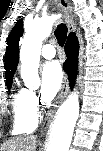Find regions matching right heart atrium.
Wrapping results in <instances>:
<instances>
[{
  "mask_svg": "<svg viewBox=\"0 0 103 151\" xmlns=\"http://www.w3.org/2000/svg\"><path fill=\"white\" fill-rule=\"evenodd\" d=\"M25 91V99L29 110L37 116L40 110V101L35 92L31 90H24Z\"/></svg>",
  "mask_w": 103,
  "mask_h": 151,
  "instance_id": "d8ad5b80",
  "label": "right heart atrium"
}]
</instances>
